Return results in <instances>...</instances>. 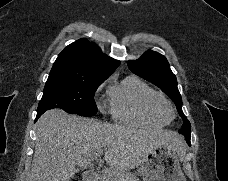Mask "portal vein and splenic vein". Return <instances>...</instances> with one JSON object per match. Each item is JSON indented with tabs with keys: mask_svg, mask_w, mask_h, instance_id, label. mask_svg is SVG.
Listing matches in <instances>:
<instances>
[{
	"mask_svg": "<svg viewBox=\"0 0 228 181\" xmlns=\"http://www.w3.org/2000/svg\"><path fill=\"white\" fill-rule=\"evenodd\" d=\"M105 151H106V149H105ZM103 153H104V149H103V151H99V153H96V157H94L95 161H96L97 157H101V155H103Z\"/></svg>",
	"mask_w": 228,
	"mask_h": 181,
	"instance_id": "portal-vein-and-splenic-vein-1",
	"label": "portal vein and splenic vein"
}]
</instances>
